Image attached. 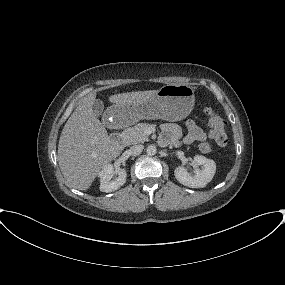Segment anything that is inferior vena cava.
Returning <instances> with one entry per match:
<instances>
[{
	"label": "inferior vena cava",
	"mask_w": 285,
	"mask_h": 285,
	"mask_svg": "<svg viewBox=\"0 0 285 285\" xmlns=\"http://www.w3.org/2000/svg\"><path fill=\"white\" fill-rule=\"evenodd\" d=\"M144 146L141 144L138 145H134L129 149V152L132 156H137L139 154H141V152L143 151Z\"/></svg>",
	"instance_id": "obj_1"
}]
</instances>
